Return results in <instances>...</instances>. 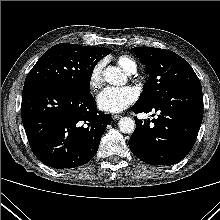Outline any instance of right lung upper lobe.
Wrapping results in <instances>:
<instances>
[{
    "label": "right lung upper lobe",
    "mask_w": 220,
    "mask_h": 220,
    "mask_svg": "<svg viewBox=\"0 0 220 220\" xmlns=\"http://www.w3.org/2000/svg\"><path fill=\"white\" fill-rule=\"evenodd\" d=\"M100 48V50L105 54V55H108L110 53V49L108 48H103V47H98Z\"/></svg>",
    "instance_id": "cb5924a9"
}]
</instances>
